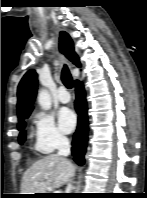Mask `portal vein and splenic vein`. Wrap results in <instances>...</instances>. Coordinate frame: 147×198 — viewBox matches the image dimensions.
Wrapping results in <instances>:
<instances>
[{
    "mask_svg": "<svg viewBox=\"0 0 147 198\" xmlns=\"http://www.w3.org/2000/svg\"><path fill=\"white\" fill-rule=\"evenodd\" d=\"M55 193H61V191H55Z\"/></svg>",
    "mask_w": 147,
    "mask_h": 198,
    "instance_id": "portal-vein-and-splenic-vein-1",
    "label": "portal vein and splenic vein"
}]
</instances>
